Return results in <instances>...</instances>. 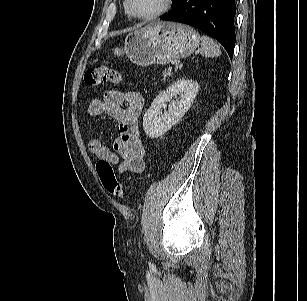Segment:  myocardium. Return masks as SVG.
I'll return each instance as SVG.
<instances>
[{"mask_svg": "<svg viewBox=\"0 0 307 301\" xmlns=\"http://www.w3.org/2000/svg\"><path fill=\"white\" fill-rule=\"evenodd\" d=\"M125 3L127 10L132 17L139 20H153L164 15L171 8L172 0H164L163 6L160 9L146 15L139 14L134 10L132 6V0H125Z\"/></svg>", "mask_w": 307, "mask_h": 301, "instance_id": "f54148a6", "label": "myocardium"}]
</instances>
